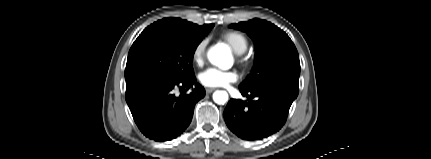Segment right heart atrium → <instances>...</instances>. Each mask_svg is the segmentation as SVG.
I'll use <instances>...</instances> for the list:
<instances>
[{
  "mask_svg": "<svg viewBox=\"0 0 431 159\" xmlns=\"http://www.w3.org/2000/svg\"><path fill=\"white\" fill-rule=\"evenodd\" d=\"M207 39H201L193 48L192 51V59L195 63L201 64L204 60L206 47H207Z\"/></svg>",
  "mask_w": 431,
  "mask_h": 159,
  "instance_id": "obj_1",
  "label": "right heart atrium"
}]
</instances>
